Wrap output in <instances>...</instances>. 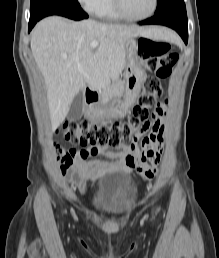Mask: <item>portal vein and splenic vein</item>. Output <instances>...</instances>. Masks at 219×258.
I'll use <instances>...</instances> for the list:
<instances>
[{"label":"portal vein and splenic vein","mask_w":219,"mask_h":258,"mask_svg":"<svg viewBox=\"0 0 219 258\" xmlns=\"http://www.w3.org/2000/svg\"><path fill=\"white\" fill-rule=\"evenodd\" d=\"M98 42L97 41H93L91 44H90V47L91 48H96L98 46Z\"/></svg>","instance_id":"1"}]
</instances>
